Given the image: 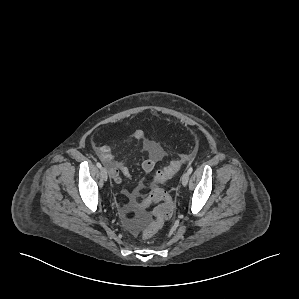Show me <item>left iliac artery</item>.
<instances>
[{
	"instance_id": "obj_1",
	"label": "left iliac artery",
	"mask_w": 299,
	"mask_h": 299,
	"mask_svg": "<svg viewBox=\"0 0 299 299\" xmlns=\"http://www.w3.org/2000/svg\"><path fill=\"white\" fill-rule=\"evenodd\" d=\"M192 171H193V168L190 166V167L188 168V173L191 174Z\"/></svg>"
}]
</instances>
